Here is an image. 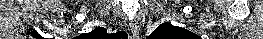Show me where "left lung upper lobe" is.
<instances>
[{"instance_id":"1","label":"left lung upper lobe","mask_w":263,"mask_h":39,"mask_svg":"<svg viewBox=\"0 0 263 39\" xmlns=\"http://www.w3.org/2000/svg\"><path fill=\"white\" fill-rule=\"evenodd\" d=\"M147 39H200V37L182 27L170 23H162Z\"/></svg>"}]
</instances>
